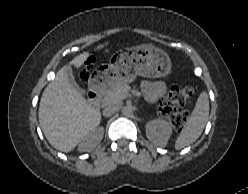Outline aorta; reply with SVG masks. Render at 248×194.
Returning <instances> with one entry per match:
<instances>
[{"mask_svg": "<svg viewBox=\"0 0 248 194\" xmlns=\"http://www.w3.org/2000/svg\"><path fill=\"white\" fill-rule=\"evenodd\" d=\"M132 109L130 107H125L123 110H122V115L125 116V117H131L132 116Z\"/></svg>", "mask_w": 248, "mask_h": 194, "instance_id": "762f6f07", "label": "aorta"}]
</instances>
